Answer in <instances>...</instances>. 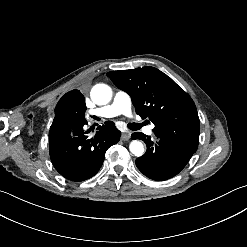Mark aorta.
Segmentation results:
<instances>
[{"label":"aorta","mask_w":247,"mask_h":247,"mask_svg":"<svg viewBox=\"0 0 247 247\" xmlns=\"http://www.w3.org/2000/svg\"><path fill=\"white\" fill-rule=\"evenodd\" d=\"M91 99L97 105H105L110 102L112 98V89L106 84H97L91 90ZM129 149L135 156H142L144 153V145L138 141L133 140Z\"/></svg>","instance_id":"762f6f07"}]
</instances>
